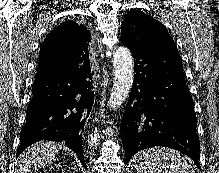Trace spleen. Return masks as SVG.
<instances>
[{
	"label": "spleen",
	"mask_w": 219,
	"mask_h": 173,
	"mask_svg": "<svg viewBox=\"0 0 219 173\" xmlns=\"http://www.w3.org/2000/svg\"><path fill=\"white\" fill-rule=\"evenodd\" d=\"M136 173H195L185 157L168 148H149L132 159Z\"/></svg>",
	"instance_id": "spleen-1"
}]
</instances>
